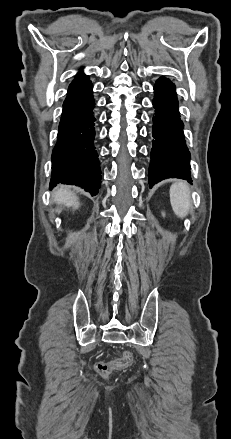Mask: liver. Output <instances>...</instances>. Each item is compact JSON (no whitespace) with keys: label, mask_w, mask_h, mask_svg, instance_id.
I'll return each instance as SVG.
<instances>
[{"label":"liver","mask_w":231,"mask_h":439,"mask_svg":"<svg viewBox=\"0 0 231 439\" xmlns=\"http://www.w3.org/2000/svg\"><path fill=\"white\" fill-rule=\"evenodd\" d=\"M53 197L55 202L62 203L66 207H73L74 209H77L79 207L78 198L69 187H57L53 191Z\"/></svg>","instance_id":"obj_1"}]
</instances>
